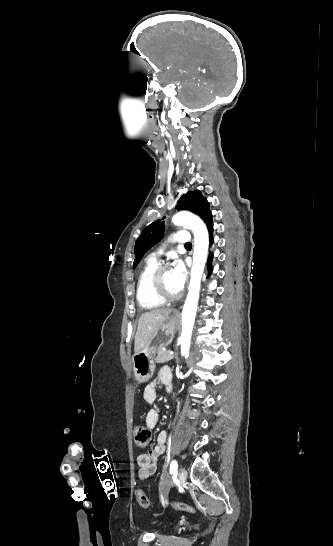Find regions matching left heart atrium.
I'll list each match as a JSON object with an SVG mask.
<instances>
[{
    "label": "left heart atrium",
    "instance_id": "1",
    "mask_svg": "<svg viewBox=\"0 0 333 546\" xmlns=\"http://www.w3.org/2000/svg\"><path fill=\"white\" fill-rule=\"evenodd\" d=\"M171 276L176 289L180 292L186 282L187 272L183 263L177 260L171 269Z\"/></svg>",
    "mask_w": 333,
    "mask_h": 546
}]
</instances>
